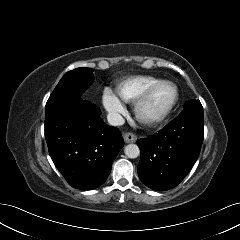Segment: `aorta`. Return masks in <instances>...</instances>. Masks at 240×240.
<instances>
[{
	"mask_svg": "<svg viewBox=\"0 0 240 240\" xmlns=\"http://www.w3.org/2000/svg\"><path fill=\"white\" fill-rule=\"evenodd\" d=\"M124 153L128 158H137L140 154V149L136 144H129L125 147Z\"/></svg>",
	"mask_w": 240,
	"mask_h": 240,
	"instance_id": "aorta-1",
	"label": "aorta"
}]
</instances>
